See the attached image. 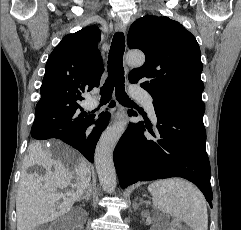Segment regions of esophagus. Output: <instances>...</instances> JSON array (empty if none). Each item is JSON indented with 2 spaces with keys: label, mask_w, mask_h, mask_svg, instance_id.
Masks as SVG:
<instances>
[{
  "label": "esophagus",
  "mask_w": 241,
  "mask_h": 230,
  "mask_svg": "<svg viewBox=\"0 0 241 230\" xmlns=\"http://www.w3.org/2000/svg\"><path fill=\"white\" fill-rule=\"evenodd\" d=\"M115 30L116 31H119V32H122V33H125L126 32V25L123 24L122 22H118L116 27H115ZM125 117V109L122 107V106H119L115 115H114V118H113V123H118L119 121L123 120Z\"/></svg>",
  "instance_id": "34e87169"
}]
</instances>
